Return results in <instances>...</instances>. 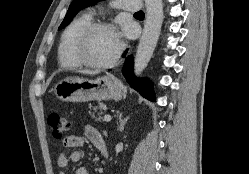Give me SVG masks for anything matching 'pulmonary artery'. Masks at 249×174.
Instances as JSON below:
<instances>
[{"label": "pulmonary artery", "instance_id": "obj_1", "mask_svg": "<svg viewBox=\"0 0 249 174\" xmlns=\"http://www.w3.org/2000/svg\"><path fill=\"white\" fill-rule=\"evenodd\" d=\"M115 5L128 12H139L141 0H116Z\"/></svg>", "mask_w": 249, "mask_h": 174}]
</instances>
